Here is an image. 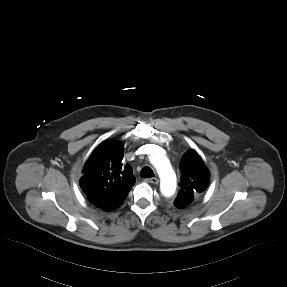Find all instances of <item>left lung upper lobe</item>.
<instances>
[{
  "label": "left lung upper lobe",
  "instance_id": "1",
  "mask_svg": "<svg viewBox=\"0 0 287 287\" xmlns=\"http://www.w3.org/2000/svg\"><path fill=\"white\" fill-rule=\"evenodd\" d=\"M180 186L175 205L179 208L189 205L194 196L202 193L209 183V172L201 157L193 150H188L181 158Z\"/></svg>",
  "mask_w": 287,
  "mask_h": 287
}]
</instances>
